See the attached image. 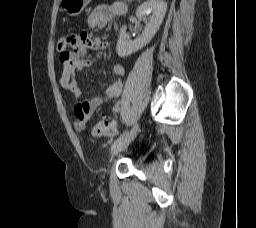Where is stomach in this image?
Instances as JSON below:
<instances>
[{
    "instance_id": "stomach-1",
    "label": "stomach",
    "mask_w": 256,
    "mask_h": 228,
    "mask_svg": "<svg viewBox=\"0 0 256 228\" xmlns=\"http://www.w3.org/2000/svg\"><path fill=\"white\" fill-rule=\"evenodd\" d=\"M91 0H61L62 8L71 16L79 15Z\"/></svg>"
}]
</instances>
